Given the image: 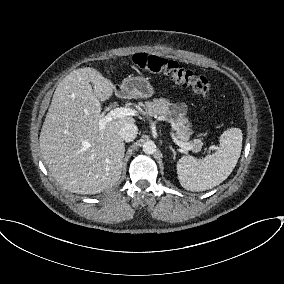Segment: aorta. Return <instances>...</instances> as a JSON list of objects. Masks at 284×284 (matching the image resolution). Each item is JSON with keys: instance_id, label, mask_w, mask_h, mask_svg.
I'll return each instance as SVG.
<instances>
[{"instance_id": "aorta-1", "label": "aorta", "mask_w": 284, "mask_h": 284, "mask_svg": "<svg viewBox=\"0 0 284 284\" xmlns=\"http://www.w3.org/2000/svg\"><path fill=\"white\" fill-rule=\"evenodd\" d=\"M156 151V144L154 143V141H146L143 144V152L145 154H153Z\"/></svg>"}]
</instances>
